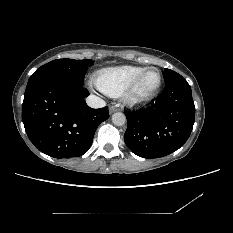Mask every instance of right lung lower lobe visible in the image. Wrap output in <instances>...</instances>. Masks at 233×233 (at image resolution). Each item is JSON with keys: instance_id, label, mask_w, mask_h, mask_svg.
<instances>
[{"instance_id": "obj_1", "label": "right lung lower lobe", "mask_w": 233, "mask_h": 233, "mask_svg": "<svg viewBox=\"0 0 233 233\" xmlns=\"http://www.w3.org/2000/svg\"><path fill=\"white\" fill-rule=\"evenodd\" d=\"M88 90L65 79L27 85L22 106L25 131L41 152L54 158L78 157L92 145L97 127L109 118L108 107L93 109Z\"/></svg>"}]
</instances>
